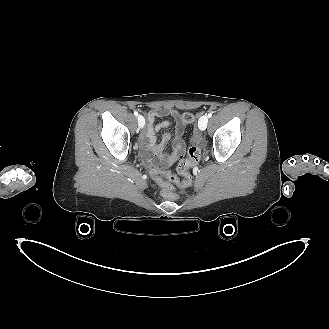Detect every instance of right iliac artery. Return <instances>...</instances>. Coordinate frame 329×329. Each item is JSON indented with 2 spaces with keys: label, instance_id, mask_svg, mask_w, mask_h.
I'll return each mask as SVG.
<instances>
[{
  "label": "right iliac artery",
  "instance_id": "82829eb1",
  "mask_svg": "<svg viewBox=\"0 0 329 329\" xmlns=\"http://www.w3.org/2000/svg\"><path fill=\"white\" fill-rule=\"evenodd\" d=\"M134 115H135V116H138V112H137V111H134Z\"/></svg>",
  "mask_w": 329,
  "mask_h": 329
}]
</instances>
